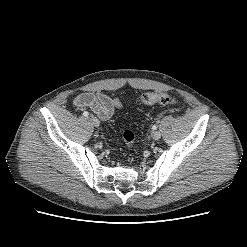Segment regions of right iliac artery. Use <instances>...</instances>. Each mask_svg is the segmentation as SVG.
<instances>
[{"mask_svg":"<svg viewBox=\"0 0 247 247\" xmlns=\"http://www.w3.org/2000/svg\"><path fill=\"white\" fill-rule=\"evenodd\" d=\"M83 115L87 117V116L89 115V113H88L87 111H85V112L83 113Z\"/></svg>","mask_w":247,"mask_h":247,"instance_id":"obj_1","label":"right iliac artery"}]
</instances>
